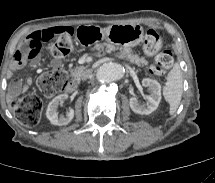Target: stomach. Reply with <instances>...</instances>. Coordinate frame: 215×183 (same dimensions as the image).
I'll return each mask as SVG.
<instances>
[{
	"instance_id": "stomach-1",
	"label": "stomach",
	"mask_w": 215,
	"mask_h": 183,
	"mask_svg": "<svg viewBox=\"0 0 215 183\" xmlns=\"http://www.w3.org/2000/svg\"><path fill=\"white\" fill-rule=\"evenodd\" d=\"M144 30L138 24H113L99 29L98 37L119 48L138 45L143 38Z\"/></svg>"
}]
</instances>
